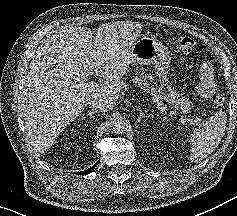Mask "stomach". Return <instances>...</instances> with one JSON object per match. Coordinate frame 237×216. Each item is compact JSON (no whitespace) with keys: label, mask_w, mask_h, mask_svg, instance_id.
Returning a JSON list of instances; mask_svg holds the SVG:
<instances>
[{"label":"stomach","mask_w":237,"mask_h":216,"mask_svg":"<svg viewBox=\"0 0 237 216\" xmlns=\"http://www.w3.org/2000/svg\"><path fill=\"white\" fill-rule=\"evenodd\" d=\"M131 62L139 65H151L161 70L163 83H167V77L163 70L167 67L169 55L167 49L156 39L142 37L137 40L130 49Z\"/></svg>","instance_id":"obj_1"}]
</instances>
